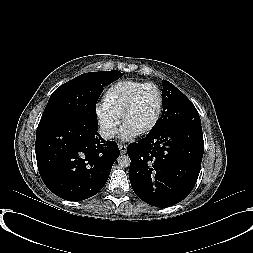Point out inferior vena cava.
Wrapping results in <instances>:
<instances>
[{
  "instance_id": "1",
  "label": "inferior vena cava",
  "mask_w": 253,
  "mask_h": 253,
  "mask_svg": "<svg viewBox=\"0 0 253 253\" xmlns=\"http://www.w3.org/2000/svg\"><path fill=\"white\" fill-rule=\"evenodd\" d=\"M116 132L117 131L114 126L101 127L99 129V133L104 140H109V139L114 138V136L116 135Z\"/></svg>"
}]
</instances>
